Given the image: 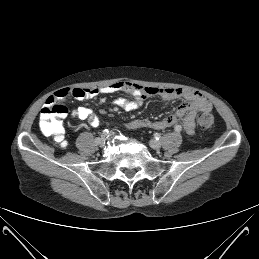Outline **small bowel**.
Listing matches in <instances>:
<instances>
[{"label": "small bowel", "mask_w": 259, "mask_h": 259, "mask_svg": "<svg viewBox=\"0 0 259 259\" xmlns=\"http://www.w3.org/2000/svg\"><path fill=\"white\" fill-rule=\"evenodd\" d=\"M118 91L128 92L132 99L119 98L114 101V105L125 110L133 111L138 109L143 102L153 96H158L165 101L181 98L184 100L177 110L159 121H152L147 118L133 119L126 124L128 129L152 128L164 130L174 126L179 120L182 122L181 128L188 135L195 134L196 119L198 114L210 112L211 103L198 91L186 88H157L144 87L132 82L121 81L101 88H64L58 90L49 100H61L68 96H73L79 100L96 98L100 95L113 94ZM71 117L79 120H86L91 126L97 127L100 124L99 116L87 107H78L71 112Z\"/></svg>", "instance_id": "c3829d8e"}]
</instances>
